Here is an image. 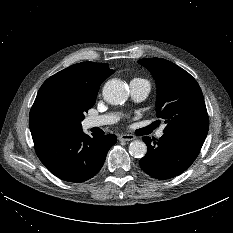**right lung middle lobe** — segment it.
<instances>
[{
	"mask_svg": "<svg viewBox=\"0 0 233 233\" xmlns=\"http://www.w3.org/2000/svg\"><path fill=\"white\" fill-rule=\"evenodd\" d=\"M95 100L68 89L58 88L52 93L51 107L61 121H75L80 124L85 117L84 113L94 105Z\"/></svg>",
	"mask_w": 233,
	"mask_h": 233,
	"instance_id": "right-lung-middle-lobe-1",
	"label": "right lung middle lobe"
}]
</instances>
